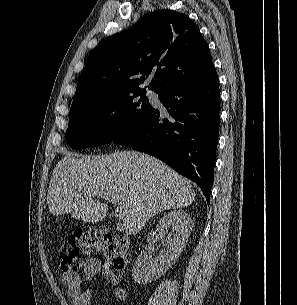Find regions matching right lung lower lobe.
Here are the masks:
<instances>
[{"mask_svg":"<svg viewBox=\"0 0 297 305\" xmlns=\"http://www.w3.org/2000/svg\"><path fill=\"white\" fill-rule=\"evenodd\" d=\"M165 110L150 113L117 135L122 144L162 160L194 181L209 204L220 124L219 79L203 77L161 88Z\"/></svg>","mask_w":297,"mask_h":305,"instance_id":"98d812e1","label":"right lung lower lobe"}]
</instances>
